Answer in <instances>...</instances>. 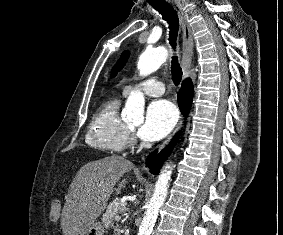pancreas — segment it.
I'll return each instance as SVG.
<instances>
[{
  "instance_id": "obj_1",
  "label": "pancreas",
  "mask_w": 283,
  "mask_h": 235,
  "mask_svg": "<svg viewBox=\"0 0 283 235\" xmlns=\"http://www.w3.org/2000/svg\"><path fill=\"white\" fill-rule=\"evenodd\" d=\"M126 209V204L121 202L120 198L113 200L107 207L106 212L102 215V222L106 229L114 227L113 220L119 213L124 212ZM115 235H120V229L116 227Z\"/></svg>"
}]
</instances>
